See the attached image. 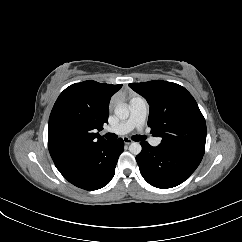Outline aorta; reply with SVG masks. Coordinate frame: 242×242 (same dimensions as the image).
<instances>
[{"instance_id": "obj_1", "label": "aorta", "mask_w": 242, "mask_h": 242, "mask_svg": "<svg viewBox=\"0 0 242 242\" xmlns=\"http://www.w3.org/2000/svg\"><path fill=\"white\" fill-rule=\"evenodd\" d=\"M114 113L116 117L119 118L120 120H126L130 114L129 109L123 105H118L115 108ZM141 150H142V147L138 142H133L129 146V151L134 155H138L141 152Z\"/></svg>"}]
</instances>
